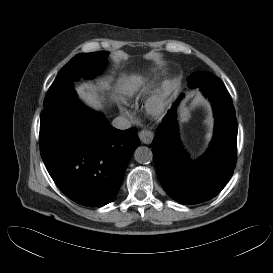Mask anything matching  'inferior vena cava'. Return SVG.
Wrapping results in <instances>:
<instances>
[{"mask_svg":"<svg viewBox=\"0 0 273 273\" xmlns=\"http://www.w3.org/2000/svg\"><path fill=\"white\" fill-rule=\"evenodd\" d=\"M112 126L120 130H125L131 127V122L128 118L119 116L112 121Z\"/></svg>","mask_w":273,"mask_h":273,"instance_id":"obj_1","label":"inferior vena cava"}]
</instances>
